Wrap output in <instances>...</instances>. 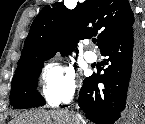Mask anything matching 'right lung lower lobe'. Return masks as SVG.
Listing matches in <instances>:
<instances>
[{"label":"right lung lower lobe","instance_id":"98d812e1","mask_svg":"<svg viewBox=\"0 0 145 124\" xmlns=\"http://www.w3.org/2000/svg\"><path fill=\"white\" fill-rule=\"evenodd\" d=\"M107 59L101 76L83 81L78 99L86 117L97 124L132 121L145 109V35L137 25L101 49ZM104 84V89L97 87Z\"/></svg>","mask_w":145,"mask_h":124}]
</instances>
